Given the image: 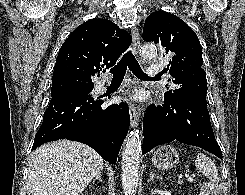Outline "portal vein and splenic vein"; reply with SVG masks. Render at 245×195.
Masks as SVG:
<instances>
[{
    "instance_id": "18ae733b",
    "label": "portal vein and splenic vein",
    "mask_w": 245,
    "mask_h": 195,
    "mask_svg": "<svg viewBox=\"0 0 245 195\" xmlns=\"http://www.w3.org/2000/svg\"><path fill=\"white\" fill-rule=\"evenodd\" d=\"M187 180H188L189 182H192L194 179H193V177H188Z\"/></svg>"
}]
</instances>
